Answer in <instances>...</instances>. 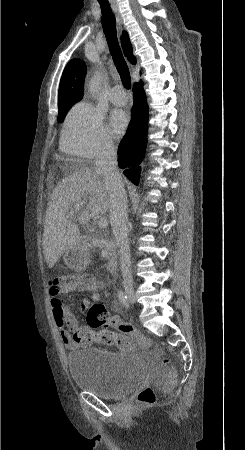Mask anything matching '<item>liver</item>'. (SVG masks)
I'll list each match as a JSON object with an SVG mask.
<instances>
[{
	"label": "liver",
	"mask_w": 245,
	"mask_h": 450,
	"mask_svg": "<svg viewBox=\"0 0 245 450\" xmlns=\"http://www.w3.org/2000/svg\"><path fill=\"white\" fill-rule=\"evenodd\" d=\"M76 206L80 209L72 213ZM109 209L110 193L101 173L84 167L61 179L52 192L44 220L42 245L48 267L52 268L77 243L79 224L100 218Z\"/></svg>",
	"instance_id": "1"
}]
</instances>
